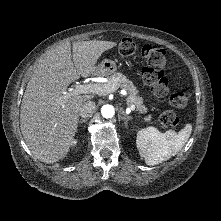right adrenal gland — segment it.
<instances>
[{"mask_svg": "<svg viewBox=\"0 0 221 221\" xmlns=\"http://www.w3.org/2000/svg\"><path fill=\"white\" fill-rule=\"evenodd\" d=\"M85 122H87V119H80L79 120V124H82V123H85Z\"/></svg>", "mask_w": 221, "mask_h": 221, "instance_id": "2a0ac1e0", "label": "right adrenal gland"}]
</instances>
